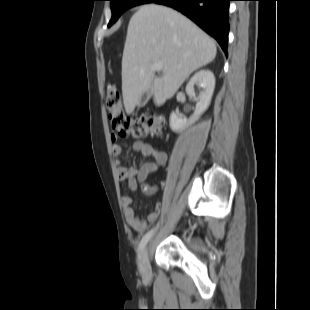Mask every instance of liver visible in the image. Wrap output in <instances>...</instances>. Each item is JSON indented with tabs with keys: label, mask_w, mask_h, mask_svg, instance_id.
<instances>
[{
	"label": "liver",
	"mask_w": 310,
	"mask_h": 310,
	"mask_svg": "<svg viewBox=\"0 0 310 310\" xmlns=\"http://www.w3.org/2000/svg\"><path fill=\"white\" fill-rule=\"evenodd\" d=\"M215 42L177 11L156 4L140 7L131 17L122 57V94L130 115L144 92L161 106L195 70L216 57ZM161 62L155 76L151 65Z\"/></svg>",
	"instance_id": "liver-1"
}]
</instances>
